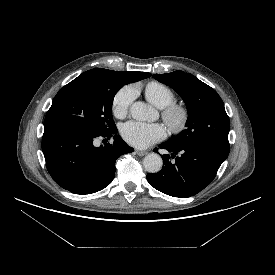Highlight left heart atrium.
Wrapping results in <instances>:
<instances>
[{
	"mask_svg": "<svg viewBox=\"0 0 275 275\" xmlns=\"http://www.w3.org/2000/svg\"><path fill=\"white\" fill-rule=\"evenodd\" d=\"M124 140L137 148H146L166 137V130L160 124L129 121L121 128Z\"/></svg>",
	"mask_w": 275,
	"mask_h": 275,
	"instance_id": "1",
	"label": "left heart atrium"
}]
</instances>
